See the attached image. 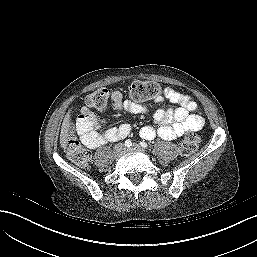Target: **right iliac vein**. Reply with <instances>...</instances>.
Listing matches in <instances>:
<instances>
[{
  "mask_svg": "<svg viewBox=\"0 0 257 257\" xmlns=\"http://www.w3.org/2000/svg\"><path fill=\"white\" fill-rule=\"evenodd\" d=\"M124 150V146L122 144H118L113 148V154L115 157H118Z\"/></svg>",
  "mask_w": 257,
  "mask_h": 257,
  "instance_id": "1",
  "label": "right iliac vein"
}]
</instances>
